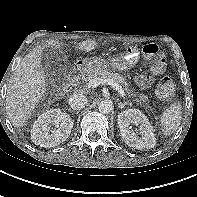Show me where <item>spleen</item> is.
<instances>
[{
    "instance_id": "1",
    "label": "spleen",
    "mask_w": 197,
    "mask_h": 197,
    "mask_svg": "<svg viewBox=\"0 0 197 197\" xmlns=\"http://www.w3.org/2000/svg\"><path fill=\"white\" fill-rule=\"evenodd\" d=\"M181 108L179 102H174L161 115V125L165 135H171L180 125L182 119Z\"/></svg>"
}]
</instances>
